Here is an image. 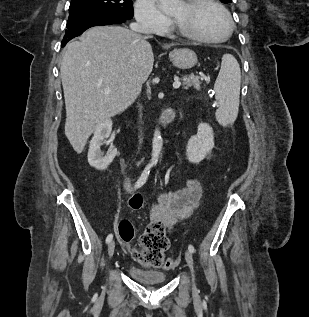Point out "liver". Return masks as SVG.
Here are the masks:
<instances>
[{"label": "liver", "instance_id": "liver-1", "mask_svg": "<svg viewBox=\"0 0 309 317\" xmlns=\"http://www.w3.org/2000/svg\"><path fill=\"white\" fill-rule=\"evenodd\" d=\"M147 39L124 27L96 26L66 46L60 68L65 135L77 153L102 122L140 94L154 63Z\"/></svg>", "mask_w": 309, "mask_h": 317}]
</instances>
